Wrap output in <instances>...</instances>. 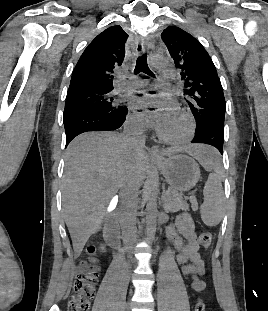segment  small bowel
Masks as SVG:
<instances>
[{"mask_svg": "<svg viewBox=\"0 0 268 311\" xmlns=\"http://www.w3.org/2000/svg\"><path fill=\"white\" fill-rule=\"evenodd\" d=\"M166 234L177 249L176 261L182 274L190 276L192 290L201 293L206 288L205 281L200 278L206 273V264L199 253L192 217L187 213L179 214L167 227Z\"/></svg>", "mask_w": 268, "mask_h": 311, "instance_id": "c3829d8e", "label": "small bowel"}]
</instances>
